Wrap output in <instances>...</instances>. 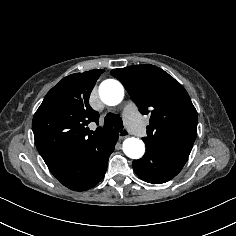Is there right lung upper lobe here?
Masks as SVG:
<instances>
[{"label":"right lung upper lobe","instance_id":"cb5924a9","mask_svg":"<svg viewBox=\"0 0 236 236\" xmlns=\"http://www.w3.org/2000/svg\"><path fill=\"white\" fill-rule=\"evenodd\" d=\"M104 70L94 69L63 78L45 96L32 121L36 147L47 166L80 156L114 130L87 125L99 115L89 106V96Z\"/></svg>","mask_w":236,"mask_h":236}]
</instances>
